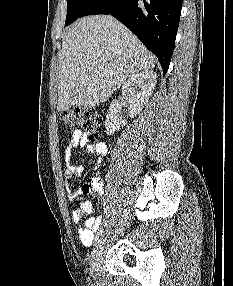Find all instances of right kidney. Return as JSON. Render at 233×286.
I'll use <instances>...</instances> for the list:
<instances>
[{
  "mask_svg": "<svg viewBox=\"0 0 233 286\" xmlns=\"http://www.w3.org/2000/svg\"><path fill=\"white\" fill-rule=\"evenodd\" d=\"M157 83V74L151 70L139 71L129 77L122 86V92L129 103V116L134 118L140 113L144 105L148 102ZM120 104L114 100L109 107L106 116L105 128L107 135H113L125 120L119 117Z\"/></svg>",
  "mask_w": 233,
  "mask_h": 286,
  "instance_id": "1",
  "label": "right kidney"
}]
</instances>
